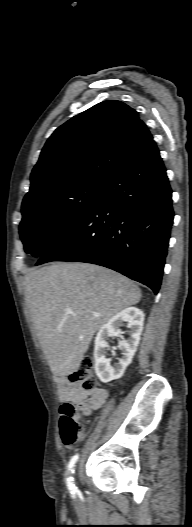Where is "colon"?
Segmentation results:
<instances>
[{"mask_svg": "<svg viewBox=\"0 0 192 527\" xmlns=\"http://www.w3.org/2000/svg\"><path fill=\"white\" fill-rule=\"evenodd\" d=\"M70 380L85 390L97 388L93 361L84 358L79 368L70 375ZM85 432L86 428L79 419L76 406L71 401L63 402L60 407V436L63 444L71 447L84 437Z\"/></svg>", "mask_w": 192, "mask_h": 527, "instance_id": "obj_1", "label": "colon"}]
</instances>
